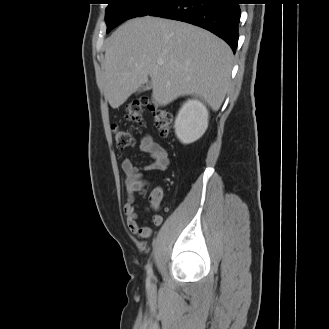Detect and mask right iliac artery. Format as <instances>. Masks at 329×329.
I'll use <instances>...</instances> for the list:
<instances>
[{
    "instance_id": "obj_1",
    "label": "right iliac artery",
    "mask_w": 329,
    "mask_h": 329,
    "mask_svg": "<svg viewBox=\"0 0 329 329\" xmlns=\"http://www.w3.org/2000/svg\"><path fill=\"white\" fill-rule=\"evenodd\" d=\"M147 275H148V279H151L153 277V270L151 264H149L147 267Z\"/></svg>"
}]
</instances>
